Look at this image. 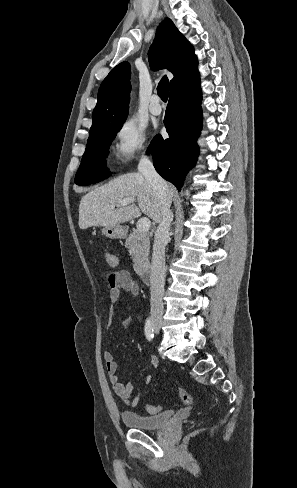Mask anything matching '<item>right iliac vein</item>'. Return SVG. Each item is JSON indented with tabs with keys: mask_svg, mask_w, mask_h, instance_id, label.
Wrapping results in <instances>:
<instances>
[{
	"mask_svg": "<svg viewBox=\"0 0 297 488\" xmlns=\"http://www.w3.org/2000/svg\"><path fill=\"white\" fill-rule=\"evenodd\" d=\"M153 327L155 328L156 331H159L161 327V322L159 320H154L153 321Z\"/></svg>",
	"mask_w": 297,
	"mask_h": 488,
	"instance_id": "obj_1",
	"label": "right iliac vein"
}]
</instances>
